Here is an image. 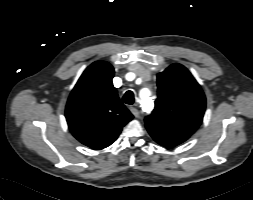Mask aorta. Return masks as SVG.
I'll list each match as a JSON object with an SVG mask.
<instances>
[{
    "instance_id": "1",
    "label": "aorta",
    "mask_w": 253,
    "mask_h": 200,
    "mask_svg": "<svg viewBox=\"0 0 253 200\" xmlns=\"http://www.w3.org/2000/svg\"><path fill=\"white\" fill-rule=\"evenodd\" d=\"M142 92H147L149 93L148 89H144ZM141 107L142 110L146 113V114H150L152 113L153 109H154V103H153V99L152 97L147 96L143 99L142 103H141Z\"/></svg>"
}]
</instances>
